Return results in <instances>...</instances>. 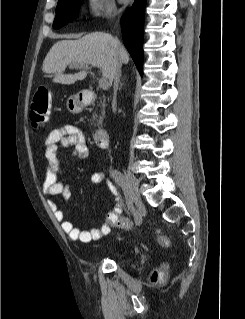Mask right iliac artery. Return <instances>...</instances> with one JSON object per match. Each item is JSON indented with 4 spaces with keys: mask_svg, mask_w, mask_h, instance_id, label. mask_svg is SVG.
<instances>
[{
    "mask_svg": "<svg viewBox=\"0 0 245 319\" xmlns=\"http://www.w3.org/2000/svg\"><path fill=\"white\" fill-rule=\"evenodd\" d=\"M111 174H112V177L114 178V180L123 189L124 194H125V198H126V204H127L128 208L133 212L134 217L137 219V223H140V221H138L137 211L135 210L134 205H133V198H132L131 194H129V188L126 185L124 175L118 170H113ZM110 188L116 194V189L114 186L111 185V183H110Z\"/></svg>",
    "mask_w": 245,
    "mask_h": 319,
    "instance_id": "right-iliac-artery-1",
    "label": "right iliac artery"
}]
</instances>
